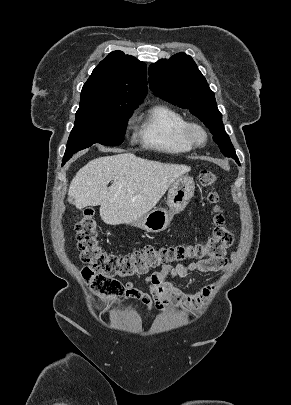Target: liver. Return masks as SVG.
<instances>
[{"label": "liver", "mask_w": 291, "mask_h": 405, "mask_svg": "<svg viewBox=\"0 0 291 405\" xmlns=\"http://www.w3.org/2000/svg\"><path fill=\"white\" fill-rule=\"evenodd\" d=\"M189 171L185 165L150 161L132 153L100 157L76 173L68 196L78 209L100 205L106 224H128L154 208L169 186Z\"/></svg>", "instance_id": "6515ba94"}]
</instances>
